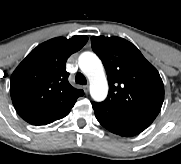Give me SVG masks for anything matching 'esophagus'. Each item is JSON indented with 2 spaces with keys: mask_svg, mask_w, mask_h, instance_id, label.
Instances as JSON below:
<instances>
[{
  "mask_svg": "<svg viewBox=\"0 0 181 164\" xmlns=\"http://www.w3.org/2000/svg\"><path fill=\"white\" fill-rule=\"evenodd\" d=\"M83 90H84L85 93H87L88 90H89V86H88V85H84V86H83Z\"/></svg>",
  "mask_w": 181,
  "mask_h": 164,
  "instance_id": "1",
  "label": "esophagus"
}]
</instances>
